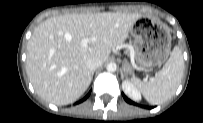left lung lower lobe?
<instances>
[{"instance_id":"1","label":"left lung lower lobe","mask_w":203,"mask_h":123,"mask_svg":"<svg viewBox=\"0 0 203 123\" xmlns=\"http://www.w3.org/2000/svg\"><path fill=\"white\" fill-rule=\"evenodd\" d=\"M123 97L124 99L128 102V103H131V104H134L131 100H129L124 94H123Z\"/></svg>"}]
</instances>
